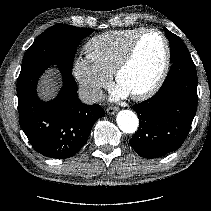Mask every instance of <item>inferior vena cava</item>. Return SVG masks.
Listing matches in <instances>:
<instances>
[{
  "label": "inferior vena cava",
  "mask_w": 211,
  "mask_h": 211,
  "mask_svg": "<svg viewBox=\"0 0 211 211\" xmlns=\"http://www.w3.org/2000/svg\"><path fill=\"white\" fill-rule=\"evenodd\" d=\"M79 98L85 104H94L103 98V92L100 89L81 88Z\"/></svg>",
  "instance_id": "1"
}]
</instances>
